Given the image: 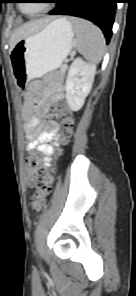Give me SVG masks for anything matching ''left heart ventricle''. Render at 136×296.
<instances>
[{
  "label": "left heart ventricle",
  "instance_id": "1",
  "mask_svg": "<svg viewBox=\"0 0 136 296\" xmlns=\"http://www.w3.org/2000/svg\"><path fill=\"white\" fill-rule=\"evenodd\" d=\"M47 3L45 2H38V1H28V3H25V8L30 12V13H35L40 11L41 9L46 6Z\"/></svg>",
  "mask_w": 136,
  "mask_h": 296
}]
</instances>
